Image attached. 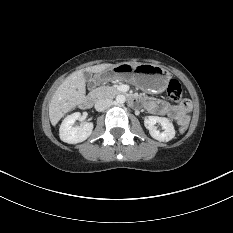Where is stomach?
I'll return each mask as SVG.
<instances>
[{"label": "stomach", "instance_id": "obj_1", "mask_svg": "<svg viewBox=\"0 0 233 233\" xmlns=\"http://www.w3.org/2000/svg\"><path fill=\"white\" fill-rule=\"evenodd\" d=\"M116 79L134 83L150 93H161L166 89L171 74L165 68L151 63H120L96 73L93 83L100 85Z\"/></svg>", "mask_w": 233, "mask_h": 233}]
</instances>
